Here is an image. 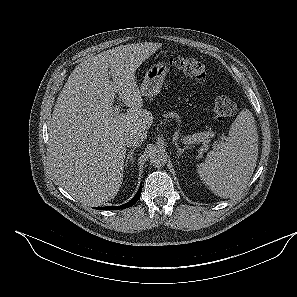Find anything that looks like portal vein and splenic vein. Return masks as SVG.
Masks as SVG:
<instances>
[{
    "mask_svg": "<svg viewBox=\"0 0 297 297\" xmlns=\"http://www.w3.org/2000/svg\"><path fill=\"white\" fill-rule=\"evenodd\" d=\"M120 108L121 106L120 105H116L114 107V112L116 114H119L120 113ZM184 143H187V144H193V140L189 137L186 141L184 140ZM208 149V146L207 145H203L200 149H199V154H202L204 151H206Z\"/></svg>",
    "mask_w": 297,
    "mask_h": 297,
    "instance_id": "18ae733b",
    "label": "portal vein and splenic vein"
}]
</instances>
